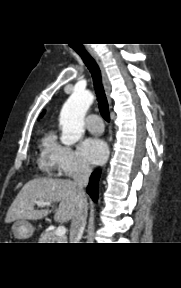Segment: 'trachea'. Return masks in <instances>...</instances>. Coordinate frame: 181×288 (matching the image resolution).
<instances>
[{"instance_id":"3493384b","label":"trachea","mask_w":181,"mask_h":288,"mask_svg":"<svg viewBox=\"0 0 181 288\" xmlns=\"http://www.w3.org/2000/svg\"><path fill=\"white\" fill-rule=\"evenodd\" d=\"M74 50L82 58L83 62L89 69L93 78L100 113L107 122H110L109 106L102 85L100 68L94 58L84 48Z\"/></svg>"}]
</instances>
